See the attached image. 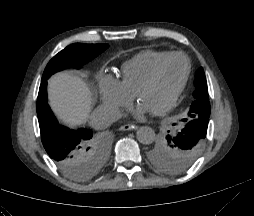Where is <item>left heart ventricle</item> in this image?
Instances as JSON below:
<instances>
[{"instance_id":"b2bd125f","label":"left heart ventricle","mask_w":254,"mask_h":216,"mask_svg":"<svg viewBox=\"0 0 254 216\" xmlns=\"http://www.w3.org/2000/svg\"><path fill=\"white\" fill-rule=\"evenodd\" d=\"M185 70L186 62L183 58L176 57L168 61L162 67L153 86L142 93L140 102L153 111L164 107L181 82Z\"/></svg>"}]
</instances>
